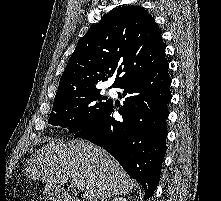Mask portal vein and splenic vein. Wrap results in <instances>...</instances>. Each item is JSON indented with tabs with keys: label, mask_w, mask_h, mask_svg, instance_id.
Here are the masks:
<instances>
[{
	"label": "portal vein and splenic vein",
	"mask_w": 221,
	"mask_h": 201,
	"mask_svg": "<svg viewBox=\"0 0 221 201\" xmlns=\"http://www.w3.org/2000/svg\"><path fill=\"white\" fill-rule=\"evenodd\" d=\"M71 186L75 190H83V184L79 180H76V179L72 180L71 181Z\"/></svg>",
	"instance_id": "portal-vein-and-splenic-vein-1"
}]
</instances>
